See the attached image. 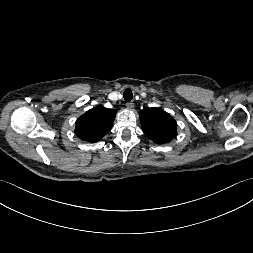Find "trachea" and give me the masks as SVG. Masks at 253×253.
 Wrapping results in <instances>:
<instances>
[{"label": "trachea", "instance_id": "3493384b", "mask_svg": "<svg viewBox=\"0 0 253 253\" xmlns=\"http://www.w3.org/2000/svg\"><path fill=\"white\" fill-rule=\"evenodd\" d=\"M124 100L130 102L133 98L132 91L130 89H126L123 94Z\"/></svg>", "mask_w": 253, "mask_h": 253}]
</instances>
